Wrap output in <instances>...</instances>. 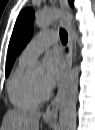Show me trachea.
<instances>
[{
  "label": "trachea",
  "instance_id": "obj_1",
  "mask_svg": "<svg viewBox=\"0 0 95 130\" xmlns=\"http://www.w3.org/2000/svg\"><path fill=\"white\" fill-rule=\"evenodd\" d=\"M60 39H61L63 44H66L68 41V35L64 29H60Z\"/></svg>",
  "mask_w": 95,
  "mask_h": 130
}]
</instances>
